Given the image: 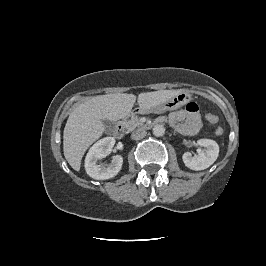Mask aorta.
Returning a JSON list of instances; mask_svg holds the SVG:
<instances>
[{
    "mask_svg": "<svg viewBox=\"0 0 266 266\" xmlns=\"http://www.w3.org/2000/svg\"><path fill=\"white\" fill-rule=\"evenodd\" d=\"M152 131L156 137H161L165 134V127L161 124H158L153 127Z\"/></svg>",
    "mask_w": 266,
    "mask_h": 266,
    "instance_id": "obj_1",
    "label": "aorta"
}]
</instances>
